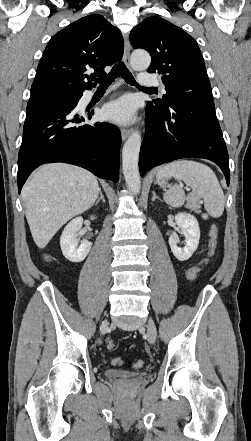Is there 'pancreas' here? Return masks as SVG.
Here are the masks:
<instances>
[{"label": "pancreas", "mask_w": 251, "mask_h": 441, "mask_svg": "<svg viewBox=\"0 0 251 441\" xmlns=\"http://www.w3.org/2000/svg\"><path fill=\"white\" fill-rule=\"evenodd\" d=\"M186 208L190 209L191 211H194L197 214L201 212L199 205H186Z\"/></svg>", "instance_id": "obj_1"}]
</instances>
